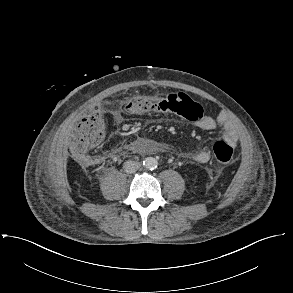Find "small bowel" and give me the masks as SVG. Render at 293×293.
I'll return each instance as SVG.
<instances>
[{"mask_svg":"<svg viewBox=\"0 0 293 293\" xmlns=\"http://www.w3.org/2000/svg\"><path fill=\"white\" fill-rule=\"evenodd\" d=\"M109 113L117 120L121 121L122 116L118 110L112 109ZM195 125L203 130L212 131L216 130L219 126L222 127L221 138L225 140L232 147H236L239 141V135L235 126L230 121H223L221 123L217 122L210 116L202 115L198 120H196ZM189 157L198 163H207L211 159V154L207 150H199L189 155ZM88 163L92 160L87 159Z\"/></svg>","mask_w":293,"mask_h":293,"instance_id":"1","label":"small bowel"}]
</instances>
